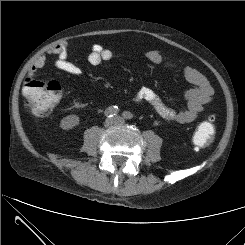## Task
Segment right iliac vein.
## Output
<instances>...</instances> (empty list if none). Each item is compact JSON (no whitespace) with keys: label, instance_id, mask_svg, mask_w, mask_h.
Wrapping results in <instances>:
<instances>
[{"label":"right iliac vein","instance_id":"right-iliac-vein-1","mask_svg":"<svg viewBox=\"0 0 245 245\" xmlns=\"http://www.w3.org/2000/svg\"><path fill=\"white\" fill-rule=\"evenodd\" d=\"M117 123H118V119L116 117H114V118H108V119L105 120L104 126L106 128H108V127H111V126H113V125H115Z\"/></svg>","mask_w":245,"mask_h":245}]
</instances>
